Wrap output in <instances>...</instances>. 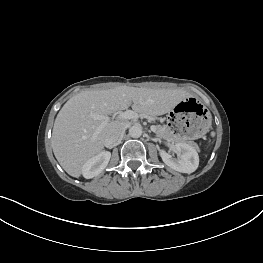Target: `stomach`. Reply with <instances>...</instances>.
<instances>
[{
	"label": "stomach",
	"instance_id": "obj_1",
	"mask_svg": "<svg viewBox=\"0 0 263 263\" xmlns=\"http://www.w3.org/2000/svg\"><path fill=\"white\" fill-rule=\"evenodd\" d=\"M168 113L172 114L171 122L175 132L189 140L205 136L213 122L209 107L193 98L182 100Z\"/></svg>",
	"mask_w": 263,
	"mask_h": 263
}]
</instances>
